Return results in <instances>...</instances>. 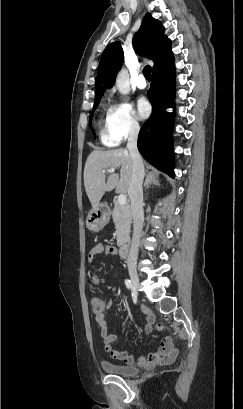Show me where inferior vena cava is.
<instances>
[{
  "label": "inferior vena cava",
  "mask_w": 243,
  "mask_h": 409,
  "mask_svg": "<svg viewBox=\"0 0 243 409\" xmlns=\"http://www.w3.org/2000/svg\"><path fill=\"white\" fill-rule=\"evenodd\" d=\"M139 125H132L129 131L127 149L132 159V177L128 188L131 201V214L133 218V235L127 263L135 264L138 257V246L141 230L144 222L143 213V179L144 165L137 148Z\"/></svg>",
  "instance_id": "602c4592"
}]
</instances>
